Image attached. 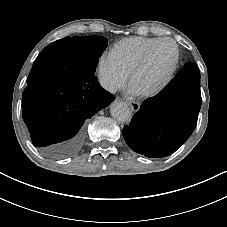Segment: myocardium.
Returning a JSON list of instances; mask_svg holds the SVG:
<instances>
[{"label":"myocardium","mask_w":227,"mask_h":227,"mask_svg":"<svg viewBox=\"0 0 227 227\" xmlns=\"http://www.w3.org/2000/svg\"><path fill=\"white\" fill-rule=\"evenodd\" d=\"M162 42H169L171 44L174 45L175 49H176V55L175 58L166 74V76L164 77V79L160 82V84H158L155 88H153L152 90L148 91V92H144L141 93L140 95L142 97L145 98H152L155 97L157 95H159L162 91L165 90V88L170 84V82L172 81L176 70L178 68V65L180 63V59H181V51H180V47L178 45V43L173 40L172 38H168V37H164V38H160L158 40H156L154 43H152L144 52V54L142 55V57L139 59V61L133 66V68L131 69L130 73H129V84L132 86V82L134 77L136 76L137 73H139L142 69H144V67L147 65L150 56L153 52V50L155 49V47L157 45H159Z\"/></svg>","instance_id":"1"}]
</instances>
